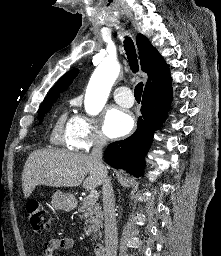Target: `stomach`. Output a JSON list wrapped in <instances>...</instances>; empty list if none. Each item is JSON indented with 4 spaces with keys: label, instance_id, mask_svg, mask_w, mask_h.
Segmentation results:
<instances>
[{
    "label": "stomach",
    "instance_id": "stomach-1",
    "mask_svg": "<svg viewBox=\"0 0 221 256\" xmlns=\"http://www.w3.org/2000/svg\"><path fill=\"white\" fill-rule=\"evenodd\" d=\"M52 205L57 210L68 212L76 207V199L72 194L57 190L52 196Z\"/></svg>",
    "mask_w": 221,
    "mask_h": 256
}]
</instances>
